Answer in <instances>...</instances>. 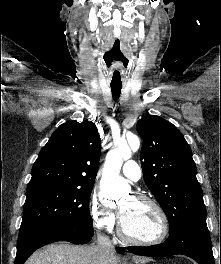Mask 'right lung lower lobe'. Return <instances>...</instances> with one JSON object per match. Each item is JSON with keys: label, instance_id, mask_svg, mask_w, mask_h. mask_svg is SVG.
<instances>
[{"label": "right lung lower lobe", "instance_id": "obj_1", "mask_svg": "<svg viewBox=\"0 0 221 264\" xmlns=\"http://www.w3.org/2000/svg\"><path fill=\"white\" fill-rule=\"evenodd\" d=\"M94 234L92 227L83 228H35L19 233L15 264H24L27 258L40 247L57 242L68 241L75 244L90 242Z\"/></svg>", "mask_w": 221, "mask_h": 264}]
</instances>
